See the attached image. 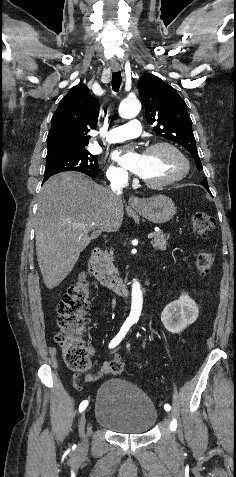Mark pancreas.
Listing matches in <instances>:
<instances>
[{
  "label": "pancreas",
  "mask_w": 236,
  "mask_h": 477,
  "mask_svg": "<svg viewBox=\"0 0 236 477\" xmlns=\"http://www.w3.org/2000/svg\"><path fill=\"white\" fill-rule=\"evenodd\" d=\"M153 234L154 239L151 242L152 245L159 250H166L168 246L169 235L164 234L162 231L154 232ZM113 260V252L104 253L101 266L103 268V271L110 276H113V274H116L118 272L117 268H115V266L113 265Z\"/></svg>",
  "instance_id": "pancreas-1"
}]
</instances>
